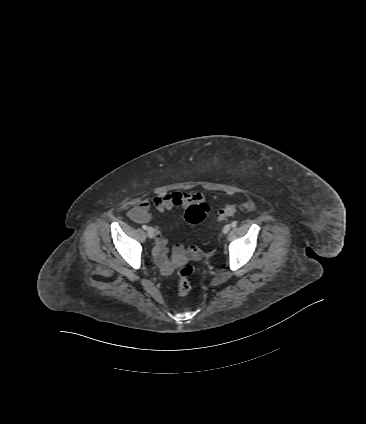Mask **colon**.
Instances as JSON below:
<instances>
[{
  "mask_svg": "<svg viewBox=\"0 0 366 424\" xmlns=\"http://www.w3.org/2000/svg\"><path fill=\"white\" fill-rule=\"evenodd\" d=\"M209 206L205 202L193 204L186 209L185 218L191 225H196L202 222L208 214ZM237 211V206L234 204L227 205L218 212V220L222 221L234 215ZM189 253L192 257L197 258L200 256V250L197 247H191ZM194 271L192 265H185L179 271V280L177 284V295L186 296L192 291V285L188 280Z\"/></svg>",
  "mask_w": 366,
  "mask_h": 424,
  "instance_id": "5ec220e1",
  "label": "colon"
}]
</instances>
